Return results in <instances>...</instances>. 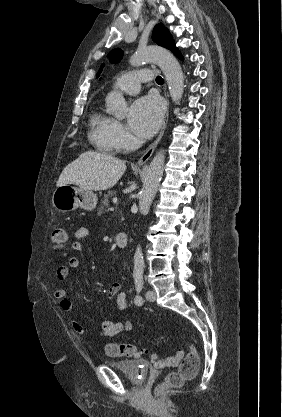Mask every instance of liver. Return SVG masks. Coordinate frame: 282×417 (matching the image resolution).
<instances>
[{
    "mask_svg": "<svg viewBox=\"0 0 282 417\" xmlns=\"http://www.w3.org/2000/svg\"><path fill=\"white\" fill-rule=\"evenodd\" d=\"M125 170V160L86 150L65 166L57 180V186L77 184L83 190H107L118 182Z\"/></svg>",
    "mask_w": 282,
    "mask_h": 417,
    "instance_id": "6515ba94",
    "label": "liver"
}]
</instances>
